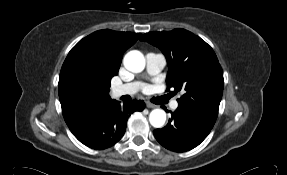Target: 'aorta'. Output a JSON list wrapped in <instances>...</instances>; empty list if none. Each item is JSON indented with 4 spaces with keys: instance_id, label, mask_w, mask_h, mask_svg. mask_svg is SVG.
I'll use <instances>...</instances> for the list:
<instances>
[{
    "instance_id": "762f6f07",
    "label": "aorta",
    "mask_w": 287,
    "mask_h": 175,
    "mask_svg": "<svg viewBox=\"0 0 287 175\" xmlns=\"http://www.w3.org/2000/svg\"><path fill=\"white\" fill-rule=\"evenodd\" d=\"M124 66L127 70L139 73L145 68L144 55L137 50L128 52L123 60ZM150 124L155 128H162L166 121V113L162 109H154L149 115Z\"/></svg>"
}]
</instances>
